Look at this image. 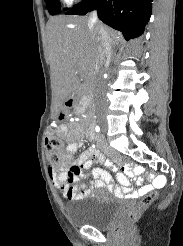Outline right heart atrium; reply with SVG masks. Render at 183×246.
Masks as SVG:
<instances>
[{"mask_svg":"<svg viewBox=\"0 0 183 246\" xmlns=\"http://www.w3.org/2000/svg\"><path fill=\"white\" fill-rule=\"evenodd\" d=\"M66 3H73V2H75V1H77V0H64Z\"/></svg>","mask_w":183,"mask_h":246,"instance_id":"right-heart-atrium-1","label":"right heart atrium"}]
</instances>
